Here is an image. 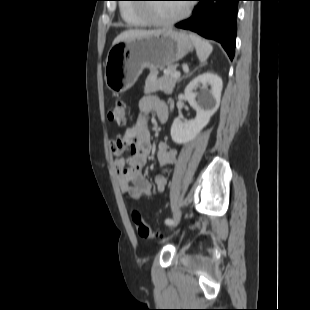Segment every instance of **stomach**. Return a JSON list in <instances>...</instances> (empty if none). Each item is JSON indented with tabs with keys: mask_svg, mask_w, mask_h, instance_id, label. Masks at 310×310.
<instances>
[{
	"mask_svg": "<svg viewBox=\"0 0 310 310\" xmlns=\"http://www.w3.org/2000/svg\"><path fill=\"white\" fill-rule=\"evenodd\" d=\"M193 48L189 35L172 29L121 41L108 51L105 83L113 93H123L134 85L144 68L172 66Z\"/></svg>",
	"mask_w": 310,
	"mask_h": 310,
	"instance_id": "0dacf381",
	"label": "stomach"
}]
</instances>
